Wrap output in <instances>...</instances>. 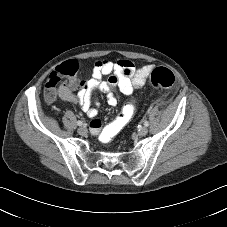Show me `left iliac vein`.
<instances>
[{
    "label": "left iliac vein",
    "instance_id": "4c4485c4",
    "mask_svg": "<svg viewBox=\"0 0 227 227\" xmlns=\"http://www.w3.org/2000/svg\"><path fill=\"white\" fill-rule=\"evenodd\" d=\"M138 133L140 136H145L147 135L148 133V129L146 127H141L139 130H138Z\"/></svg>",
    "mask_w": 227,
    "mask_h": 227
}]
</instances>
